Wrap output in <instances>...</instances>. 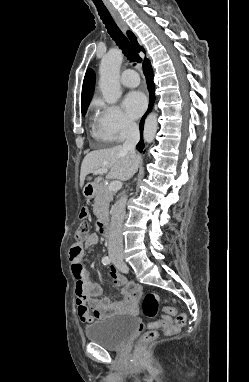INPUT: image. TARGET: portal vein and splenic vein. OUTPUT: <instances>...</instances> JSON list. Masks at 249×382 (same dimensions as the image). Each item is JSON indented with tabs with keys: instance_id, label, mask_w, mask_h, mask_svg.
Listing matches in <instances>:
<instances>
[{
	"instance_id": "obj_1",
	"label": "portal vein and splenic vein",
	"mask_w": 249,
	"mask_h": 382,
	"mask_svg": "<svg viewBox=\"0 0 249 382\" xmlns=\"http://www.w3.org/2000/svg\"><path fill=\"white\" fill-rule=\"evenodd\" d=\"M108 170L107 169H98L96 171H94L93 173L94 174H102V173H107ZM122 187V183L121 181H118V180H115V181H111L108 185V188L112 191H116L118 189H120Z\"/></svg>"
}]
</instances>
